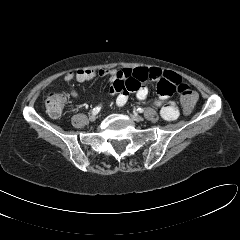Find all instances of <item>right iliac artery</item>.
I'll return each instance as SVG.
<instances>
[{"label":"right iliac artery","mask_w":240,"mask_h":240,"mask_svg":"<svg viewBox=\"0 0 240 240\" xmlns=\"http://www.w3.org/2000/svg\"><path fill=\"white\" fill-rule=\"evenodd\" d=\"M100 109H101L100 106H97V107L93 108L92 114L96 115L100 111Z\"/></svg>","instance_id":"1"}]
</instances>
